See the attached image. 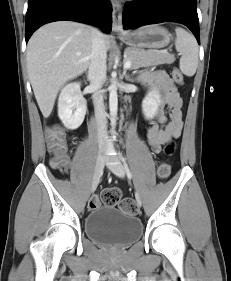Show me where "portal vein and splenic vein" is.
<instances>
[{"label": "portal vein and splenic vein", "instance_id": "18ae733b", "mask_svg": "<svg viewBox=\"0 0 231 281\" xmlns=\"http://www.w3.org/2000/svg\"><path fill=\"white\" fill-rule=\"evenodd\" d=\"M131 67V61L130 60H127L125 63H124V68L125 69H128Z\"/></svg>", "mask_w": 231, "mask_h": 281}]
</instances>
